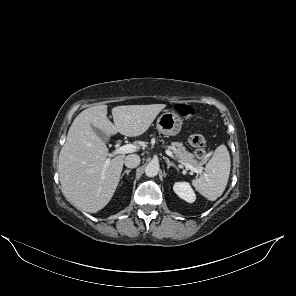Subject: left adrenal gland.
Returning <instances> with one entry per match:
<instances>
[{
    "mask_svg": "<svg viewBox=\"0 0 296 296\" xmlns=\"http://www.w3.org/2000/svg\"><path fill=\"white\" fill-rule=\"evenodd\" d=\"M166 163H167V169H169L170 167H174L178 170L177 166L173 162H170L168 159H166Z\"/></svg>",
    "mask_w": 296,
    "mask_h": 296,
    "instance_id": "1",
    "label": "left adrenal gland"
}]
</instances>
